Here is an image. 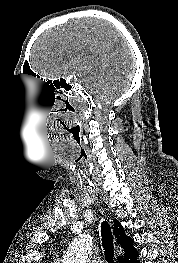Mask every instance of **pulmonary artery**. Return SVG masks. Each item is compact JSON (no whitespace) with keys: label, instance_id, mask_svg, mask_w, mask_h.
Returning a JSON list of instances; mask_svg holds the SVG:
<instances>
[{"label":"pulmonary artery","instance_id":"e3ab8cb5","mask_svg":"<svg viewBox=\"0 0 178 263\" xmlns=\"http://www.w3.org/2000/svg\"><path fill=\"white\" fill-rule=\"evenodd\" d=\"M91 263H103V261L100 258H95L91 261Z\"/></svg>","mask_w":178,"mask_h":263}]
</instances>
